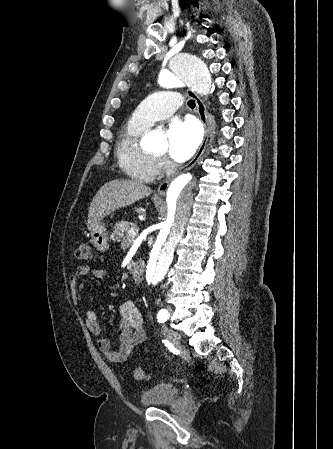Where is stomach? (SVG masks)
Listing matches in <instances>:
<instances>
[{
	"mask_svg": "<svg viewBox=\"0 0 333 449\" xmlns=\"http://www.w3.org/2000/svg\"><path fill=\"white\" fill-rule=\"evenodd\" d=\"M91 241L94 247L100 252H104L108 249L107 230L102 222H99L98 225L91 230Z\"/></svg>",
	"mask_w": 333,
	"mask_h": 449,
	"instance_id": "stomach-1",
	"label": "stomach"
}]
</instances>
